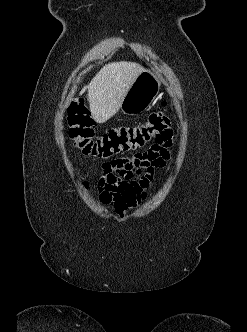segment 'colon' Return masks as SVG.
<instances>
[{
	"mask_svg": "<svg viewBox=\"0 0 247 332\" xmlns=\"http://www.w3.org/2000/svg\"><path fill=\"white\" fill-rule=\"evenodd\" d=\"M70 137L84 156L110 158L151 144H165L171 139L170 119L164 110L152 112L146 121L129 127L110 129L95 136V122L83 101L74 102L69 108Z\"/></svg>",
	"mask_w": 247,
	"mask_h": 332,
	"instance_id": "1",
	"label": "colon"
}]
</instances>
